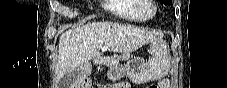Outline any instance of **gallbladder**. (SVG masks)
I'll return each mask as SVG.
<instances>
[{
    "label": "gallbladder",
    "mask_w": 227,
    "mask_h": 88,
    "mask_svg": "<svg viewBox=\"0 0 227 88\" xmlns=\"http://www.w3.org/2000/svg\"><path fill=\"white\" fill-rule=\"evenodd\" d=\"M80 69H75L74 71L65 74L58 83L59 88H69L77 79V76H80Z\"/></svg>",
    "instance_id": "obj_1"
}]
</instances>
